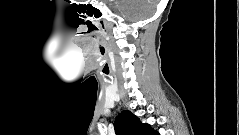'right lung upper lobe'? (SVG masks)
Returning <instances> with one entry per match:
<instances>
[{
    "label": "right lung upper lobe",
    "mask_w": 239,
    "mask_h": 135,
    "mask_svg": "<svg viewBox=\"0 0 239 135\" xmlns=\"http://www.w3.org/2000/svg\"><path fill=\"white\" fill-rule=\"evenodd\" d=\"M116 135H159L148 124L142 123L129 110H124L114 122Z\"/></svg>",
    "instance_id": "right-lung-upper-lobe-1"
}]
</instances>
